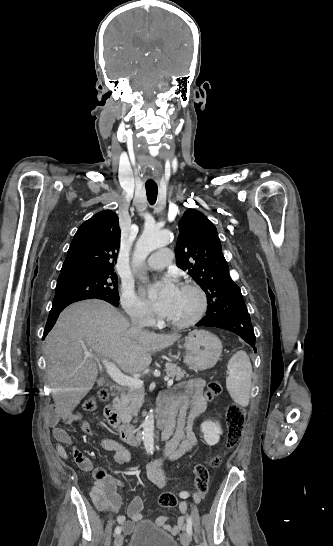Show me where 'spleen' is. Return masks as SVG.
Returning <instances> with one entry per match:
<instances>
[{"instance_id": "spleen-1", "label": "spleen", "mask_w": 333, "mask_h": 546, "mask_svg": "<svg viewBox=\"0 0 333 546\" xmlns=\"http://www.w3.org/2000/svg\"><path fill=\"white\" fill-rule=\"evenodd\" d=\"M227 390L241 406H248L251 391L252 366L245 351L236 352L228 362Z\"/></svg>"}]
</instances>
